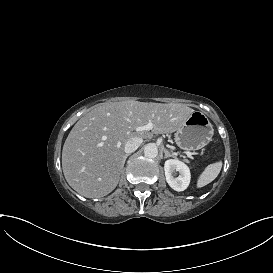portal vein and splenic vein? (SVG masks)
Wrapping results in <instances>:
<instances>
[{"label":"portal vein and splenic vein","instance_id":"1","mask_svg":"<svg viewBox=\"0 0 273 273\" xmlns=\"http://www.w3.org/2000/svg\"><path fill=\"white\" fill-rule=\"evenodd\" d=\"M153 128V123L152 122H149L147 125H144V126H137V127H134L133 128V131H136V132H141V131H146V130H150ZM185 155H187L188 157H191V152L189 151H184L183 152Z\"/></svg>","mask_w":273,"mask_h":273}]
</instances>
